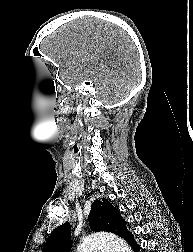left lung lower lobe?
<instances>
[{"mask_svg":"<svg viewBox=\"0 0 193 252\" xmlns=\"http://www.w3.org/2000/svg\"><path fill=\"white\" fill-rule=\"evenodd\" d=\"M126 240L130 243V245L134 248L135 252H139V246L137 245V243L134 240V237L132 235V233L130 232L128 234V236L126 237Z\"/></svg>","mask_w":193,"mask_h":252,"instance_id":"obj_1","label":"left lung lower lobe"}]
</instances>
